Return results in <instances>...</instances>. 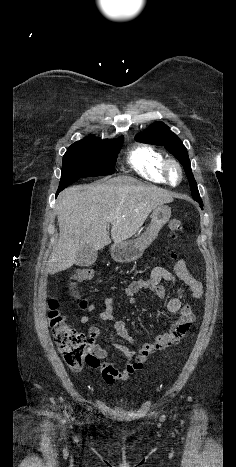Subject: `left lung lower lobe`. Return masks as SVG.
Instances as JSON below:
<instances>
[{"mask_svg": "<svg viewBox=\"0 0 236 467\" xmlns=\"http://www.w3.org/2000/svg\"><path fill=\"white\" fill-rule=\"evenodd\" d=\"M200 205H201V208H202V201L201 199H195Z\"/></svg>", "mask_w": 236, "mask_h": 467, "instance_id": "obj_1", "label": "left lung lower lobe"}]
</instances>
